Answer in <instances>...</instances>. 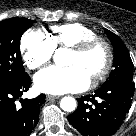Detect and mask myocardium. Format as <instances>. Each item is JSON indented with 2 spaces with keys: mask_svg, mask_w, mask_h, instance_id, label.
I'll list each match as a JSON object with an SVG mask.
<instances>
[{
  "mask_svg": "<svg viewBox=\"0 0 136 136\" xmlns=\"http://www.w3.org/2000/svg\"><path fill=\"white\" fill-rule=\"evenodd\" d=\"M96 45L104 46L107 57L102 69L90 79L91 85L98 84L100 81L105 79L106 76L109 74L114 62V51L112 45L105 38L96 36L93 38L83 40L75 44L74 46L70 47L71 52H74L76 54H83Z\"/></svg>",
  "mask_w": 136,
  "mask_h": 136,
  "instance_id": "1",
  "label": "myocardium"
}]
</instances>
